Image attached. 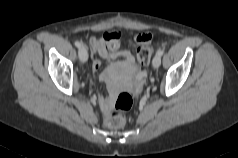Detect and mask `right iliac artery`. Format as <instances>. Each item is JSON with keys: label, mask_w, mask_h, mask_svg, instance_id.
<instances>
[{"label": "right iliac artery", "mask_w": 238, "mask_h": 158, "mask_svg": "<svg viewBox=\"0 0 238 158\" xmlns=\"http://www.w3.org/2000/svg\"><path fill=\"white\" fill-rule=\"evenodd\" d=\"M75 46L78 47V48H80V47H82V44H81L79 41H76V42H75Z\"/></svg>", "instance_id": "obj_1"}]
</instances>
